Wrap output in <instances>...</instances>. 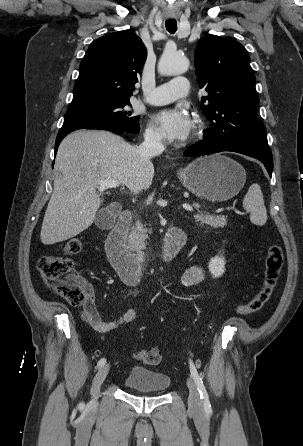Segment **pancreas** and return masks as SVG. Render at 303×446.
Masks as SVG:
<instances>
[{
  "instance_id": "cf45deb5",
  "label": "pancreas",
  "mask_w": 303,
  "mask_h": 446,
  "mask_svg": "<svg viewBox=\"0 0 303 446\" xmlns=\"http://www.w3.org/2000/svg\"><path fill=\"white\" fill-rule=\"evenodd\" d=\"M195 208H199L198 203H194ZM195 221L200 225H208L212 228H222L227 224L225 216H216L210 214H196ZM148 230L144 228L143 224L137 222L132 228L128 236V249L130 251H142L145 248V240L148 238L146 233Z\"/></svg>"
}]
</instances>
